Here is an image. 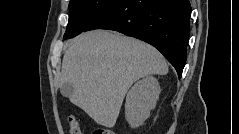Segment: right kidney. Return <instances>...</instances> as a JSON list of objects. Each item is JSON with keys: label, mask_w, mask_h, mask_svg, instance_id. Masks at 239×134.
<instances>
[{"label": "right kidney", "mask_w": 239, "mask_h": 134, "mask_svg": "<svg viewBox=\"0 0 239 134\" xmlns=\"http://www.w3.org/2000/svg\"><path fill=\"white\" fill-rule=\"evenodd\" d=\"M160 94L158 80L153 76L134 84L126 97L125 116L128 124L135 128L143 124L156 106Z\"/></svg>", "instance_id": "ca27d5eb"}]
</instances>
